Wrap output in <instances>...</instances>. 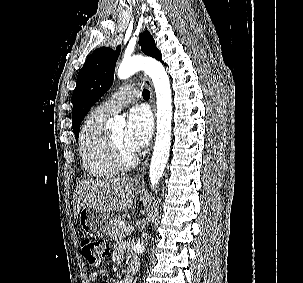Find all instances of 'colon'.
<instances>
[{
	"instance_id": "colon-1",
	"label": "colon",
	"mask_w": 303,
	"mask_h": 283,
	"mask_svg": "<svg viewBox=\"0 0 303 283\" xmlns=\"http://www.w3.org/2000/svg\"><path fill=\"white\" fill-rule=\"evenodd\" d=\"M80 250L87 263L94 268H98L110 252L106 242L96 239L82 240Z\"/></svg>"
}]
</instances>
